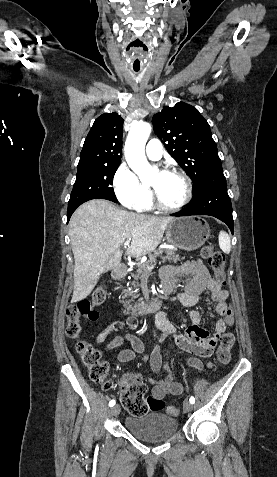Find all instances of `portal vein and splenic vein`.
<instances>
[{
    "instance_id": "portal-vein-and-splenic-vein-1",
    "label": "portal vein and splenic vein",
    "mask_w": 277,
    "mask_h": 477,
    "mask_svg": "<svg viewBox=\"0 0 277 477\" xmlns=\"http://www.w3.org/2000/svg\"><path fill=\"white\" fill-rule=\"evenodd\" d=\"M130 241H131V239H128V240H126V241L124 242V247H125V248H126V247H129ZM152 268H153V265H152L151 267H148V270H151Z\"/></svg>"
}]
</instances>
